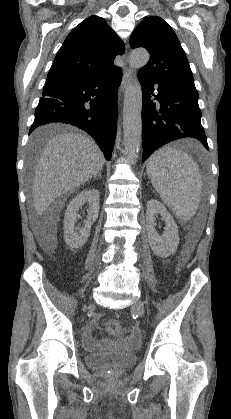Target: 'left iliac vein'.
<instances>
[{"mask_svg": "<svg viewBox=\"0 0 231 419\" xmlns=\"http://www.w3.org/2000/svg\"><path fill=\"white\" fill-rule=\"evenodd\" d=\"M132 309L135 313H137L140 317L144 316V303L141 300L136 301L132 305Z\"/></svg>", "mask_w": 231, "mask_h": 419, "instance_id": "4c4485c4", "label": "left iliac vein"}]
</instances>
